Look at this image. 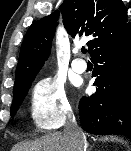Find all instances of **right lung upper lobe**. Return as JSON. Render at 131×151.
<instances>
[{
  "instance_id": "1",
  "label": "right lung upper lobe",
  "mask_w": 131,
  "mask_h": 151,
  "mask_svg": "<svg viewBox=\"0 0 131 151\" xmlns=\"http://www.w3.org/2000/svg\"><path fill=\"white\" fill-rule=\"evenodd\" d=\"M63 24L72 37L88 36V53L131 30L122 0H64ZM58 11L33 23L21 46L14 89L28 84L50 54ZM13 89V90H14Z\"/></svg>"
}]
</instances>
